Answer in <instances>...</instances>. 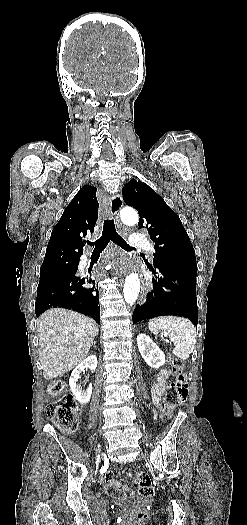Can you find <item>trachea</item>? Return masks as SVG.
<instances>
[{"mask_svg":"<svg viewBox=\"0 0 247 525\" xmlns=\"http://www.w3.org/2000/svg\"><path fill=\"white\" fill-rule=\"evenodd\" d=\"M110 240L124 250L135 248L130 247V245L117 233L113 219L104 220L102 236L98 238V240L95 242L88 241L86 243L90 246H95L93 253H101L107 247Z\"/></svg>","mask_w":247,"mask_h":525,"instance_id":"1","label":"trachea"}]
</instances>
